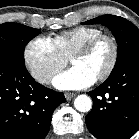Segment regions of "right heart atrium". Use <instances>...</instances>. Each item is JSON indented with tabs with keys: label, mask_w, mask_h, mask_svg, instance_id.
Wrapping results in <instances>:
<instances>
[{
	"label": "right heart atrium",
	"mask_w": 139,
	"mask_h": 139,
	"mask_svg": "<svg viewBox=\"0 0 139 139\" xmlns=\"http://www.w3.org/2000/svg\"><path fill=\"white\" fill-rule=\"evenodd\" d=\"M24 61L33 78L42 84H48L67 64V58L47 37H37L26 45Z\"/></svg>",
	"instance_id": "obj_1"
}]
</instances>
